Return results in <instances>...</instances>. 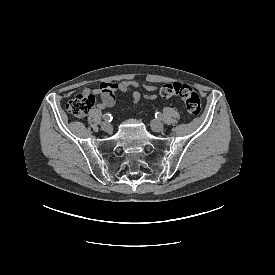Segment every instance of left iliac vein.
Returning a JSON list of instances; mask_svg holds the SVG:
<instances>
[{
    "mask_svg": "<svg viewBox=\"0 0 275 275\" xmlns=\"http://www.w3.org/2000/svg\"><path fill=\"white\" fill-rule=\"evenodd\" d=\"M151 128L153 131L161 132L164 129V125L158 120L151 121Z\"/></svg>",
    "mask_w": 275,
    "mask_h": 275,
    "instance_id": "4c4485c4",
    "label": "left iliac vein"
}]
</instances>
